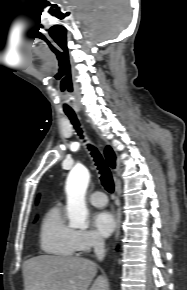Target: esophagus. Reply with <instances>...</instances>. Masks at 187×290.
Masks as SVG:
<instances>
[{
  "mask_svg": "<svg viewBox=\"0 0 187 290\" xmlns=\"http://www.w3.org/2000/svg\"><path fill=\"white\" fill-rule=\"evenodd\" d=\"M120 225H121V215L119 209L116 212V230L114 239L117 240L120 234Z\"/></svg>",
  "mask_w": 187,
  "mask_h": 290,
  "instance_id": "esophagus-1",
  "label": "esophagus"
}]
</instances>
